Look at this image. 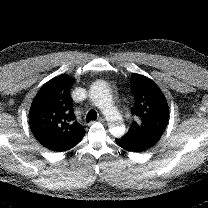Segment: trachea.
Listing matches in <instances>:
<instances>
[{"label":"trachea","mask_w":208,"mask_h":208,"mask_svg":"<svg viewBox=\"0 0 208 208\" xmlns=\"http://www.w3.org/2000/svg\"><path fill=\"white\" fill-rule=\"evenodd\" d=\"M97 119V112L95 110H90L86 116V121L89 123L90 121Z\"/></svg>","instance_id":"obj_1"}]
</instances>
